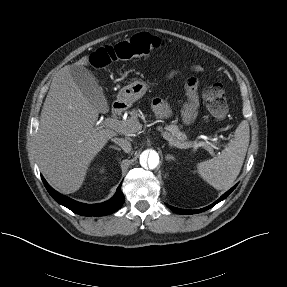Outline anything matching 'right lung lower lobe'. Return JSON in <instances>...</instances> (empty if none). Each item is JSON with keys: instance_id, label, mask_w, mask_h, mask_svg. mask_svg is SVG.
<instances>
[{"instance_id": "obj_1", "label": "right lung lower lobe", "mask_w": 287, "mask_h": 287, "mask_svg": "<svg viewBox=\"0 0 287 287\" xmlns=\"http://www.w3.org/2000/svg\"><path fill=\"white\" fill-rule=\"evenodd\" d=\"M42 181L49 194L61 205L67 207L74 213L83 216H104L117 211L124 203V195L121 192V184L117 188L116 194L108 201L99 204H84L72 200L55 191L42 177Z\"/></svg>"}]
</instances>
